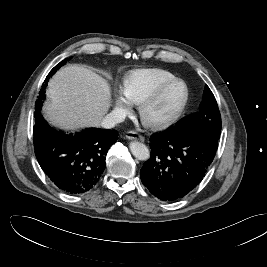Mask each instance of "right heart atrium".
I'll use <instances>...</instances> for the list:
<instances>
[{
    "label": "right heart atrium",
    "mask_w": 267,
    "mask_h": 267,
    "mask_svg": "<svg viewBox=\"0 0 267 267\" xmlns=\"http://www.w3.org/2000/svg\"><path fill=\"white\" fill-rule=\"evenodd\" d=\"M131 106L130 101L126 98L123 89L119 88L116 90L115 97V109L119 112H127L129 111Z\"/></svg>",
    "instance_id": "1"
}]
</instances>
